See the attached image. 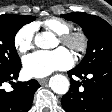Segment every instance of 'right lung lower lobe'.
Here are the masks:
<instances>
[{
	"label": "right lung lower lobe",
	"mask_w": 112,
	"mask_h": 112,
	"mask_svg": "<svg viewBox=\"0 0 112 112\" xmlns=\"http://www.w3.org/2000/svg\"><path fill=\"white\" fill-rule=\"evenodd\" d=\"M20 69L21 62L0 75V112H28L35 91L40 87L36 80L11 82L10 80L18 78ZM6 81H10L13 91L6 92L2 88V84Z\"/></svg>",
	"instance_id": "obj_1"
}]
</instances>
